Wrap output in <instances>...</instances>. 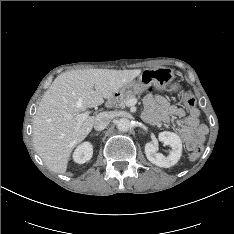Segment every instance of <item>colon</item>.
Returning a JSON list of instances; mask_svg holds the SVG:
<instances>
[{
	"label": "colon",
	"instance_id": "obj_1",
	"mask_svg": "<svg viewBox=\"0 0 234 234\" xmlns=\"http://www.w3.org/2000/svg\"><path fill=\"white\" fill-rule=\"evenodd\" d=\"M174 89L179 91V98L184 107L191 108L195 105V98L190 92L181 90L179 85H175ZM190 151V158L197 159L202 153V147L194 146L190 148Z\"/></svg>",
	"mask_w": 234,
	"mask_h": 234
}]
</instances>
